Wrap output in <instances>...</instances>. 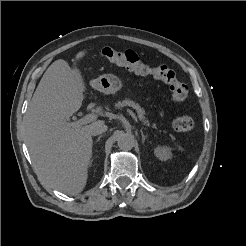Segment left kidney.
Returning <instances> with one entry per match:
<instances>
[{
  "mask_svg": "<svg viewBox=\"0 0 246 246\" xmlns=\"http://www.w3.org/2000/svg\"><path fill=\"white\" fill-rule=\"evenodd\" d=\"M154 154L161 161H167L172 158L171 148L168 146L158 145L154 149Z\"/></svg>",
  "mask_w": 246,
  "mask_h": 246,
  "instance_id": "left-kidney-1",
  "label": "left kidney"
}]
</instances>
